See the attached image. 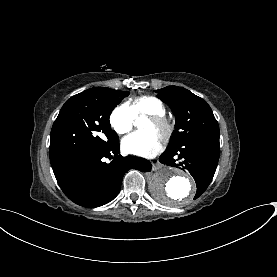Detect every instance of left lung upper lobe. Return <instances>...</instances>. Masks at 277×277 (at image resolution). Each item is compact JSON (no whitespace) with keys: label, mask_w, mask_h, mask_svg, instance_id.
I'll list each match as a JSON object with an SVG mask.
<instances>
[{"label":"left lung upper lobe","mask_w":277,"mask_h":277,"mask_svg":"<svg viewBox=\"0 0 277 277\" xmlns=\"http://www.w3.org/2000/svg\"><path fill=\"white\" fill-rule=\"evenodd\" d=\"M176 117L175 131L167 149L202 135L219 133L218 123L205 100L183 87L168 86L156 91Z\"/></svg>","instance_id":"1"}]
</instances>
